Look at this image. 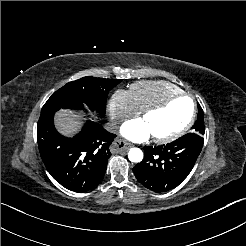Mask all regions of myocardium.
<instances>
[{
  "label": "myocardium",
  "instance_id": "obj_1",
  "mask_svg": "<svg viewBox=\"0 0 246 246\" xmlns=\"http://www.w3.org/2000/svg\"><path fill=\"white\" fill-rule=\"evenodd\" d=\"M179 98H187L190 101L191 112H190L189 118L179 129H177L173 133L166 135V136H153L152 138L156 143L164 144V143L171 142V141L179 138L180 136H182L192 126L194 119H195V114H196V108H195L194 100H193L192 96L189 95L188 93H180V94L174 95L172 97H169V98L165 99L164 101H162L158 104L149 106L141 112V118L145 119V118H147V116L150 113L164 109L171 102H173Z\"/></svg>",
  "mask_w": 246,
  "mask_h": 246
}]
</instances>
